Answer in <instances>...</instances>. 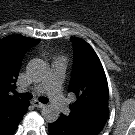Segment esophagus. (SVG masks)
I'll return each mask as SVG.
<instances>
[{
    "mask_svg": "<svg viewBox=\"0 0 135 135\" xmlns=\"http://www.w3.org/2000/svg\"><path fill=\"white\" fill-rule=\"evenodd\" d=\"M31 104H32L34 107H37V108H43V107H44V104H42V103L39 102L38 100L32 101Z\"/></svg>",
    "mask_w": 135,
    "mask_h": 135,
    "instance_id": "esophagus-1",
    "label": "esophagus"
}]
</instances>
